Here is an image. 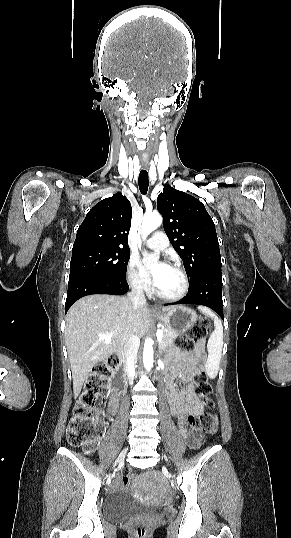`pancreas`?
<instances>
[{
    "label": "pancreas",
    "instance_id": "1",
    "mask_svg": "<svg viewBox=\"0 0 291 538\" xmlns=\"http://www.w3.org/2000/svg\"><path fill=\"white\" fill-rule=\"evenodd\" d=\"M163 332V340L160 342L159 346L161 349H165L169 345H171L175 338H177L178 333L173 332L167 328H162Z\"/></svg>",
    "mask_w": 291,
    "mask_h": 538
}]
</instances>
